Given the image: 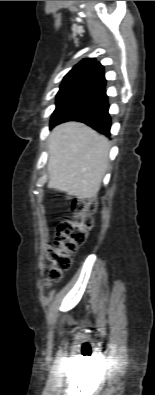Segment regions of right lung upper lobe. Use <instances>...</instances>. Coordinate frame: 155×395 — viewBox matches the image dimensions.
I'll list each match as a JSON object with an SVG mask.
<instances>
[{"mask_svg": "<svg viewBox=\"0 0 155 395\" xmlns=\"http://www.w3.org/2000/svg\"><path fill=\"white\" fill-rule=\"evenodd\" d=\"M105 83L103 66L94 58H86L68 72L61 85L83 84L104 89Z\"/></svg>", "mask_w": 155, "mask_h": 395, "instance_id": "right-lung-upper-lobe-1", "label": "right lung upper lobe"}]
</instances>
